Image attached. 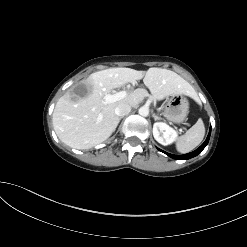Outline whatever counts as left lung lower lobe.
Masks as SVG:
<instances>
[{
	"mask_svg": "<svg viewBox=\"0 0 247 247\" xmlns=\"http://www.w3.org/2000/svg\"><path fill=\"white\" fill-rule=\"evenodd\" d=\"M210 133H211V129L209 131V134L207 136L206 141L198 149H196L195 151L190 152L188 154H184V155H173V154H170V153H166L164 151H162V152H164L165 154H167L171 158L177 159V160H187V159L193 158V157L197 156L206 147V145L209 142Z\"/></svg>",
	"mask_w": 247,
	"mask_h": 247,
	"instance_id": "1",
	"label": "left lung lower lobe"
}]
</instances>
